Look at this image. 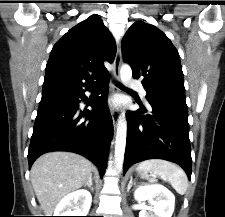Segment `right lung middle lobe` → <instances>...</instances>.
Segmentation results:
<instances>
[{
	"mask_svg": "<svg viewBox=\"0 0 225 217\" xmlns=\"http://www.w3.org/2000/svg\"><path fill=\"white\" fill-rule=\"evenodd\" d=\"M67 96H71V95H56V96H51L47 98H59V97H67Z\"/></svg>",
	"mask_w": 225,
	"mask_h": 217,
	"instance_id": "obj_1",
	"label": "right lung middle lobe"
}]
</instances>
